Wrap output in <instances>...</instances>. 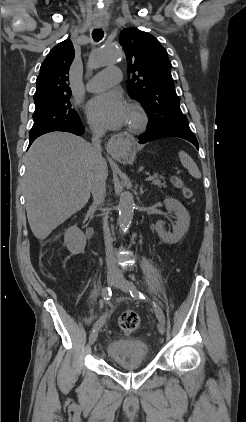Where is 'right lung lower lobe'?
Segmentation results:
<instances>
[{"label":"right lung lower lobe","instance_id":"1","mask_svg":"<svg viewBox=\"0 0 246 422\" xmlns=\"http://www.w3.org/2000/svg\"><path fill=\"white\" fill-rule=\"evenodd\" d=\"M53 131H65V132H71V133L76 134V135H81L84 132V127H83V125H82V123L80 121L78 124L73 125V126H59V127L51 128V129H49L47 131H44V132H42L40 134H37V135H34V136H30L29 146L32 144V142L37 137H39V136H41V135H43L45 133L53 132Z\"/></svg>","mask_w":246,"mask_h":422}]
</instances>
